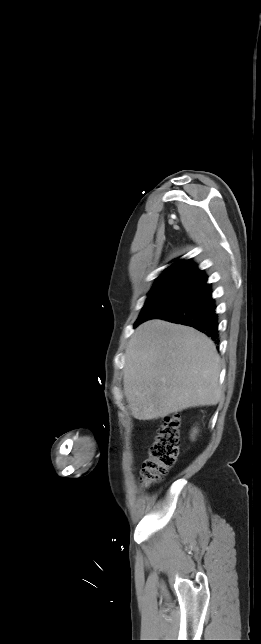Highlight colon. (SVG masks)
Masks as SVG:
<instances>
[{
  "label": "colon",
  "instance_id": "5ec220e1",
  "mask_svg": "<svg viewBox=\"0 0 261 644\" xmlns=\"http://www.w3.org/2000/svg\"><path fill=\"white\" fill-rule=\"evenodd\" d=\"M180 445V417L172 414L158 426L157 435L143 463L142 484L149 486L162 480L175 464Z\"/></svg>",
  "mask_w": 261,
  "mask_h": 644
}]
</instances>
